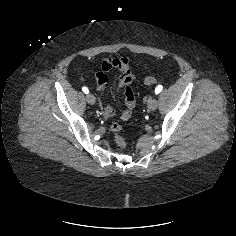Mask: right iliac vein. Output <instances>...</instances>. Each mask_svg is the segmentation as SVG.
I'll list each match as a JSON object with an SVG mask.
<instances>
[{
    "instance_id": "1",
    "label": "right iliac vein",
    "mask_w": 236,
    "mask_h": 236,
    "mask_svg": "<svg viewBox=\"0 0 236 236\" xmlns=\"http://www.w3.org/2000/svg\"><path fill=\"white\" fill-rule=\"evenodd\" d=\"M86 100L91 105L95 104V102H96L95 96L93 94H91V93L87 94Z\"/></svg>"
}]
</instances>
